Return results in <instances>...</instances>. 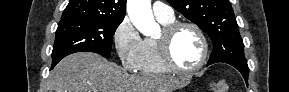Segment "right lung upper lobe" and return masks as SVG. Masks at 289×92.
Segmentation results:
<instances>
[{
	"label": "right lung upper lobe",
	"mask_w": 289,
	"mask_h": 92,
	"mask_svg": "<svg viewBox=\"0 0 289 92\" xmlns=\"http://www.w3.org/2000/svg\"><path fill=\"white\" fill-rule=\"evenodd\" d=\"M126 12V0H70L61 20L87 19L122 21Z\"/></svg>",
	"instance_id": "1"
}]
</instances>
